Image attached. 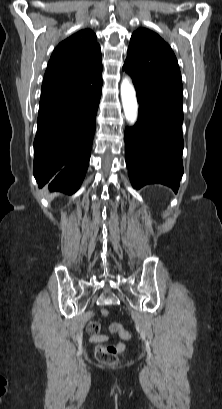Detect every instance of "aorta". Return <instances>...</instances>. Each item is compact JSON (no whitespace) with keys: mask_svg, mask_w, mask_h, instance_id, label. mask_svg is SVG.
Here are the masks:
<instances>
[{"mask_svg":"<svg viewBox=\"0 0 222 409\" xmlns=\"http://www.w3.org/2000/svg\"><path fill=\"white\" fill-rule=\"evenodd\" d=\"M121 99L126 120L133 125L137 121L138 103L135 89L129 78H125L121 84Z\"/></svg>","mask_w":222,"mask_h":409,"instance_id":"obj_1","label":"aorta"}]
</instances>
